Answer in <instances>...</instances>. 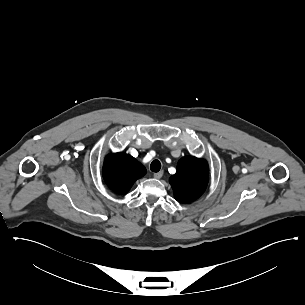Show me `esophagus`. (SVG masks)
<instances>
[{"label": "esophagus", "mask_w": 305, "mask_h": 305, "mask_svg": "<svg viewBox=\"0 0 305 305\" xmlns=\"http://www.w3.org/2000/svg\"><path fill=\"white\" fill-rule=\"evenodd\" d=\"M164 172L163 171H159L158 173H154V178L155 179H160L163 176Z\"/></svg>", "instance_id": "esophagus-1"}]
</instances>
